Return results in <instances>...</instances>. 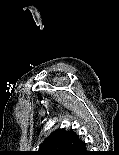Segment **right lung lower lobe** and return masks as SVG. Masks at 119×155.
<instances>
[{"label":"right lung lower lobe","instance_id":"1","mask_svg":"<svg viewBox=\"0 0 119 155\" xmlns=\"http://www.w3.org/2000/svg\"><path fill=\"white\" fill-rule=\"evenodd\" d=\"M87 152L86 143L80 140L71 146L64 155H88Z\"/></svg>","mask_w":119,"mask_h":155}]
</instances>
